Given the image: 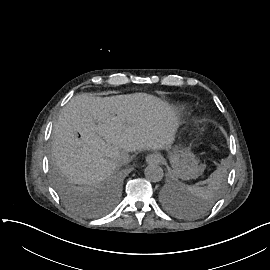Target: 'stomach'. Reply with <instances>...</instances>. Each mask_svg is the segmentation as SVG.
<instances>
[{"instance_id":"0dacf381","label":"stomach","mask_w":270,"mask_h":270,"mask_svg":"<svg viewBox=\"0 0 270 270\" xmlns=\"http://www.w3.org/2000/svg\"><path fill=\"white\" fill-rule=\"evenodd\" d=\"M168 156L173 168L172 175L182 180L195 179L205 169V165L199 164V160L189 147L182 149L175 147L172 152H169Z\"/></svg>"}]
</instances>
